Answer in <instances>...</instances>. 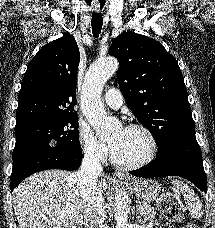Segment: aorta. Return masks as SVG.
I'll return each instance as SVG.
<instances>
[{"instance_id":"1","label":"aorta","mask_w":215,"mask_h":228,"mask_svg":"<svg viewBox=\"0 0 215 228\" xmlns=\"http://www.w3.org/2000/svg\"><path fill=\"white\" fill-rule=\"evenodd\" d=\"M119 68L118 60L115 58H106V60H98L95 64H92L88 78L82 88V110L85 114L86 120H88L90 126L94 128L97 134L100 136H106L109 134L110 124L109 118L104 110V106L100 100V94L102 88L117 72ZM127 196L125 192H116L115 194V228H128V206Z\"/></svg>"}]
</instances>
